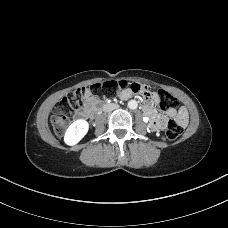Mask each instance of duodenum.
<instances>
[{"label":"duodenum","instance_id":"1","mask_svg":"<svg viewBox=\"0 0 228 228\" xmlns=\"http://www.w3.org/2000/svg\"><path fill=\"white\" fill-rule=\"evenodd\" d=\"M106 105L116 107V104H102L101 106H106ZM97 109H98V106H97L96 110H97ZM96 110H95V112H96ZM95 112H94L93 114H95ZM93 114H92V115H93ZM156 123H157V120H156V119L150 118V120H149V127H150L151 129H154V125H155Z\"/></svg>","mask_w":228,"mask_h":228}]
</instances>
